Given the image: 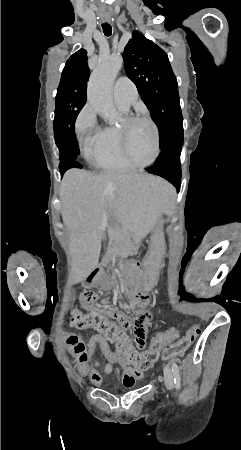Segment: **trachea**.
Returning a JSON list of instances; mask_svg holds the SVG:
<instances>
[{
  "label": "trachea",
  "mask_w": 241,
  "mask_h": 450,
  "mask_svg": "<svg viewBox=\"0 0 241 450\" xmlns=\"http://www.w3.org/2000/svg\"><path fill=\"white\" fill-rule=\"evenodd\" d=\"M102 29H103V33L104 35H106V37H110V35L112 34V27L109 23H104L102 25Z\"/></svg>",
  "instance_id": "3493384b"
}]
</instances>
